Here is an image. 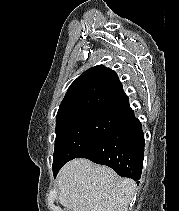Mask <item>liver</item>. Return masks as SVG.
I'll return each instance as SVG.
<instances>
[{
	"instance_id": "liver-1",
	"label": "liver",
	"mask_w": 179,
	"mask_h": 211,
	"mask_svg": "<svg viewBox=\"0 0 179 211\" xmlns=\"http://www.w3.org/2000/svg\"><path fill=\"white\" fill-rule=\"evenodd\" d=\"M58 199L68 211H128L135 193L132 179L87 159L66 163L57 176Z\"/></svg>"
}]
</instances>
